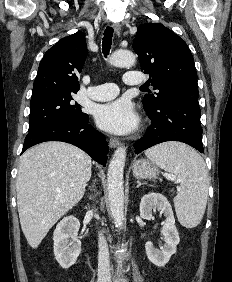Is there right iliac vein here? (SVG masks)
<instances>
[{
    "label": "right iliac vein",
    "mask_w": 232,
    "mask_h": 282,
    "mask_svg": "<svg viewBox=\"0 0 232 282\" xmlns=\"http://www.w3.org/2000/svg\"><path fill=\"white\" fill-rule=\"evenodd\" d=\"M98 282H107V281H98Z\"/></svg>",
    "instance_id": "63e3f726"
}]
</instances>
